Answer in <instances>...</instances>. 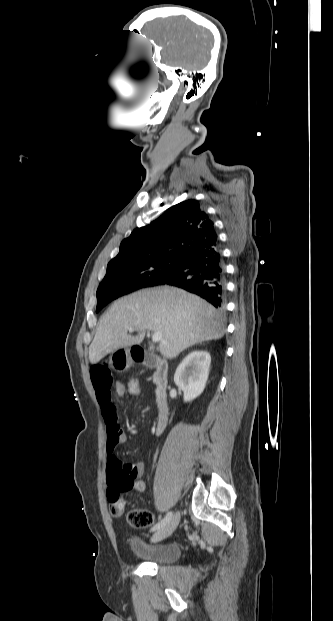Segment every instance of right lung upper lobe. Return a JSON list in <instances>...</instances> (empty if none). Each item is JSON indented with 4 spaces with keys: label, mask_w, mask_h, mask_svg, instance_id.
Segmentation results:
<instances>
[{
    "label": "right lung upper lobe",
    "mask_w": 333,
    "mask_h": 621,
    "mask_svg": "<svg viewBox=\"0 0 333 621\" xmlns=\"http://www.w3.org/2000/svg\"><path fill=\"white\" fill-rule=\"evenodd\" d=\"M217 242L213 222L197 200L189 199L167 209L149 225L136 228L120 245L108 265L160 257H179Z\"/></svg>",
    "instance_id": "cb5924a9"
}]
</instances>
